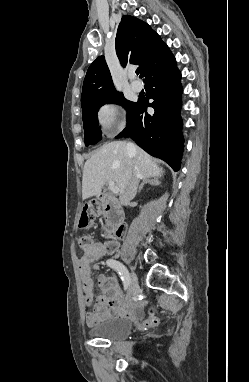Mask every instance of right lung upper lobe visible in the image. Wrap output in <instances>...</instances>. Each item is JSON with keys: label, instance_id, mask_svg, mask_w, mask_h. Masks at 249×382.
Instances as JSON below:
<instances>
[{"label": "right lung upper lobe", "instance_id": "right-lung-upper-lobe-1", "mask_svg": "<svg viewBox=\"0 0 249 382\" xmlns=\"http://www.w3.org/2000/svg\"><path fill=\"white\" fill-rule=\"evenodd\" d=\"M116 53L122 64L130 61L139 65L141 75L159 60L169 55L168 46L160 39L148 24L141 20L124 15L116 35ZM122 94L116 91L104 56L98 57L89 67L81 95L84 109L97 99L109 98Z\"/></svg>", "mask_w": 249, "mask_h": 382}]
</instances>
